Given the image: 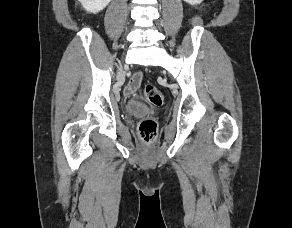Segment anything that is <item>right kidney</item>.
<instances>
[{
	"label": "right kidney",
	"mask_w": 292,
	"mask_h": 228,
	"mask_svg": "<svg viewBox=\"0 0 292 228\" xmlns=\"http://www.w3.org/2000/svg\"><path fill=\"white\" fill-rule=\"evenodd\" d=\"M83 8L89 13H98L102 11L111 0H78Z\"/></svg>",
	"instance_id": "obj_1"
}]
</instances>
